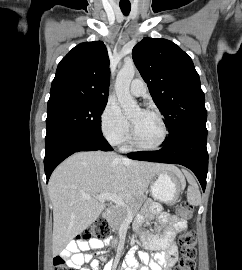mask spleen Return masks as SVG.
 Segmentation results:
<instances>
[{
	"mask_svg": "<svg viewBox=\"0 0 242 270\" xmlns=\"http://www.w3.org/2000/svg\"><path fill=\"white\" fill-rule=\"evenodd\" d=\"M190 186L187 189V201L191 205H199L201 203V194L197 183L191 175H186Z\"/></svg>",
	"mask_w": 242,
	"mask_h": 270,
	"instance_id": "1",
	"label": "spleen"
}]
</instances>
